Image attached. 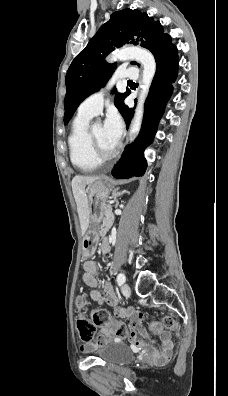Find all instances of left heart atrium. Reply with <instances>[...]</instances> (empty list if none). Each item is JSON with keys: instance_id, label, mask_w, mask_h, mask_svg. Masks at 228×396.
Listing matches in <instances>:
<instances>
[{"instance_id": "left-heart-atrium-1", "label": "left heart atrium", "mask_w": 228, "mask_h": 396, "mask_svg": "<svg viewBox=\"0 0 228 396\" xmlns=\"http://www.w3.org/2000/svg\"><path fill=\"white\" fill-rule=\"evenodd\" d=\"M122 128L123 125L119 114L114 110L110 111L105 119L104 129L108 138L116 145L121 138Z\"/></svg>"}]
</instances>
